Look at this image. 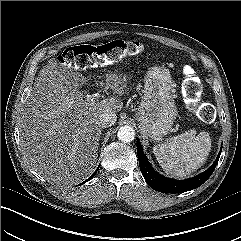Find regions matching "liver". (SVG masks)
Here are the masks:
<instances>
[{"instance_id": "1", "label": "liver", "mask_w": 241, "mask_h": 241, "mask_svg": "<svg viewBox=\"0 0 241 241\" xmlns=\"http://www.w3.org/2000/svg\"><path fill=\"white\" fill-rule=\"evenodd\" d=\"M86 81L51 61L39 71L21 113L23 154L35 172L57 185L77 183L92 172L101 136L98 116L123 106L127 83L121 75L106 74L104 84L114 95L101 101L79 91Z\"/></svg>"}]
</instances>
